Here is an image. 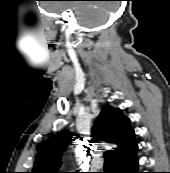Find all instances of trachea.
I'll use <instances>...</instances> for the list:
<instances>
[{
  "label": "trachea",
  "mask_w": 170,
  "mask_h": 173,
  "mask_svg": "<svg viewBox=\"0 0 170 173\" xmlns=\"http://www.w3.org/2000/svg\"><path fill=\"white\" fill-rule=\"evenodd\" d=\"M111 151L109 150V151H106L105 153H104V158H105V160L106 161H112V156H111Z\"/></svg>",
  "instance_id": "trachea-1"
}]
</instances>
